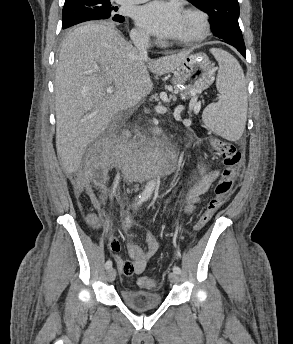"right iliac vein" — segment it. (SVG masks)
<instances>
[{
    "label": "right iliac vein",
    "mask_w": 293,
    "mask_h": 344,
    "mask_svg": "<svg viewBox=\"0 0 293 344\" xmlns=\"http://www.w3.org/2000/svg\"><path fill=\"white\" fill-rule=\"evenodd\" d=\"M116 277V271L114 268H109L107 270V279L109 282H113L115 280Z\"/></svg>",
    "instance_id": "obj_1"
}]
</instances>
